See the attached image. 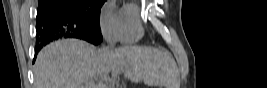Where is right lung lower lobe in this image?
Returning a JSON list of instances; mask_svg holds the SVG:
<instances>
[{
	"label": "right lung lower lobe",
	"instance_id": "obj_1",
	"mask_svg": "<svg viewBox=\"0 0 267 88\" xmlns=\"http://www.w3.org/2000/svg\"><path fill=\"white\" fill-rule=\"evenodd\" d=\"M36 21V52H38L44 45L61 37L84 39L95 45L99 44L103 39L101 33L90 30L84 24L77 23L56 11L38 8Z\"/></svg>",
	"mask_w": 267,
	"mask_h": 88
}]
</instances>
